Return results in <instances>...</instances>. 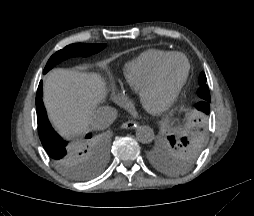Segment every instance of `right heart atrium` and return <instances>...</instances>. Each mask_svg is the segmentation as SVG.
I'll return each instance as SVG.
<instances>
[{
    "instance_id": "1",
    "label": "right heart atrium",
    "mask_w": 254,
    "mask_h": 216,
    "mask_svg": "<svg viewBox=\"0 0 254 216\" xmlns=\"http://www.w3.org/2000/svg\"><path fill=\"white\" fill-rule=\"evenodd\" d=\"M113 101L119 105L126 106L130 99L129 97L124 93H118L113 95Z\"/></svg>"
}]
</instances>
